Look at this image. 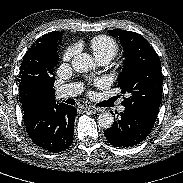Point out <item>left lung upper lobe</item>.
Instances as JSON below:
<instances>
[{
	"label": "left lung upper lobe",
	"instance_id": "5c2ea615",
	"mask_svg": "<svg viewBox=\"0 0 183 183\" xmlns=\"http://www.w3.org/2000/svg\"><path fill=\"white\" fill-rule=\"evenodd\" d=\"M124 48L125 63L118 77V87L129 94L122 105L137 109L156 119L162 98V73L159 57L139 34L125 30H109Z\"/></svg>",
	"mask_w": 183,
	"mask_h": 183
}]
</instances>
